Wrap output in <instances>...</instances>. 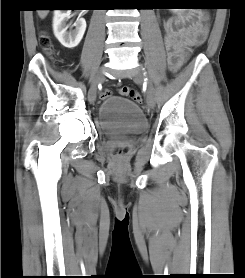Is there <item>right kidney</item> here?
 <instances>
[{
	"mask_svg": "<svg viewBox=\"0 0 245 278\" xmlns=\"http://www.w3.org/2000/svg\"><path fill=\"white\" fill-rule=\"evenodd\" d=\"M71 10H55L53 17V31L58 41L66 48H75L83 38L86 30V21L79 18L75 23V29L68 31L67 22L70 18Z\"/></svg>",
	"mask_w": 245,
	"mask_h": 278,
	"instance_id": "right-kidney-1",
	"label": "right kidney"
}]
</instances>
